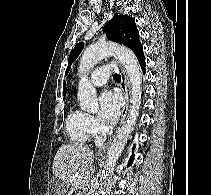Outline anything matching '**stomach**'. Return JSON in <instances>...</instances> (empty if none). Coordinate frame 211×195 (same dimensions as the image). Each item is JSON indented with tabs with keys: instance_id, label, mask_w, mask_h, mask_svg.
<instances>
[{
	"instance_id": "obj_1",
	"label": "stomach",
	"mask_w": 211,
	"mask_h": 195,
	"mask_svg": "<svg viewBox=\"0 0 211 195\" xmlns=\"http://www.w3.org/2000/svg\"><path fill=\"white\" fill-rule=\"evenodd\" d=\"M55 181H56V187H57V189H59L62 186H64V183L59 178H55ZM57 193H58V195H61V191L58 190Z\"/></svg>"
}]
</instances>
